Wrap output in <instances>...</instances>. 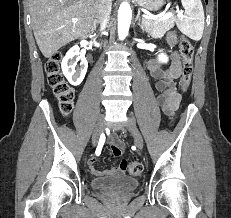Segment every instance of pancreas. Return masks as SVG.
Wrapping results in <instances>:
<instances>
[{"label":"pancreas","instance_id":"pancreas-1","mask_svg":"<svg viewBox=\"0 0 231 218\" xmlns=\"http://www.w3.org/2000/svg\"><path fill=\"white\" fill-rule=\"evenodd\" d=\"M175 22V17L168 19L143 18L142 27L152 37L161 38L167 31L174 27Z\"/></svg>","mask_w":231,"mask_h":218}]
</instances>
